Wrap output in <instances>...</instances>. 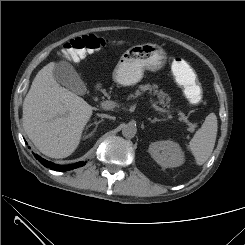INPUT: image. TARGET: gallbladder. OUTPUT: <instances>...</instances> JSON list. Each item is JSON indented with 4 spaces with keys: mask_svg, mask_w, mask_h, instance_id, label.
<instances>
[{
    "mask_svg": "<svg viewBox=\"0 0 245 245\" xmlns=\"http://www.w3.org/2000/svg\"><path fill=\"white\" fill-rule=\"evenodd\" d=\"M53 76L59 84L76 94L84 95L87 91L85 83L69 62L60 61L56 63Z\"/></svg>",
    "mask_w": 245,
    "mask_h": 245,
    "instance_id": "bac80fb5",
    "label": "gallbladder"
}]
</instances>
